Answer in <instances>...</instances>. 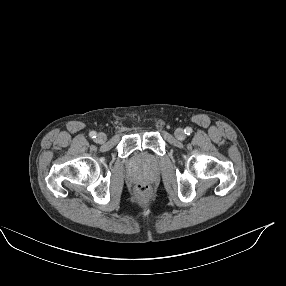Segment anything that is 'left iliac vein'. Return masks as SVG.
Wrapping results in <instances>:
<instances>
[{"label":"left iliac vein","instance_id":"left-iliac-vein-1","mask_svg":"<svg viewBox=\"0 0 286 286\" xmlns=\"http://www.w3.org/2000/svg\"><path fill=\"white\" fill-rule=\"evenodd\" d=\"M175 137L180 141L184 140L186 135H185L183 129H181V128L177 129L175 131Z\"/></svg>","mask_w":286,"mask_h":286}]
</instances>
